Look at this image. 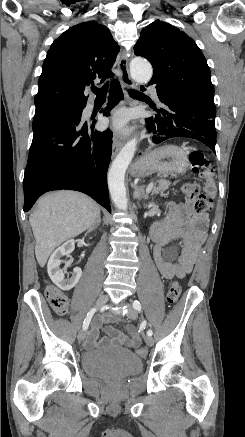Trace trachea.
Here are the masks:
<instances>
[{"label":"trachea","mask_w":245,"mask_h":437,"mask_svg":"<svg viewBox=\"0 0 245 437\" xmlns=\"http://www.w3.org/2000/svg\"><path fill=\"white\" fill-rule=\"evenodd\" d=\"M92 91L96 94L97 98H105L108 91V83H106L102 88L94 87L92 88ZM128 93L130 94L131 97L142 95L141 92H138L133 89H129Z\"/></svg>","instance_id":"1"}]
</instances>
